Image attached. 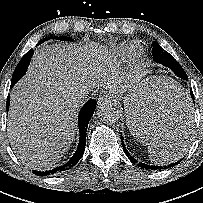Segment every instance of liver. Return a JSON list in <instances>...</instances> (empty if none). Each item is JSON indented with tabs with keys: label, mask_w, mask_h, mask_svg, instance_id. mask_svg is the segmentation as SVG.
Listing matches in <instances>:
<instances>
[{
	"label": "liver",
	"mask_w": 203,
	"mask_h": 203,
	"mask_svg": "<svg viewBox=\"0 0 203 203\" xmlns=\"http://www.w3.org/2000/svg\"><path fill=\"white\" fill-rule=\"evenodd\" d=\"M95 51L56 44L34 53L27 75L11 92L7 123L11 147L26 166L49 170L67 152L76 133L79 92L96 87L109 90L110 96L120 92L114 68L101 63ZM139 97L140 93L135 95L136 101ZM126 117L128 124L134 114ZM180 120L177 113H163L155 121L156 130L139 127L152 142L161 144L179 133Z\"/></svg>",
	"instance_id": "6515ba94"
}]
</instances>
